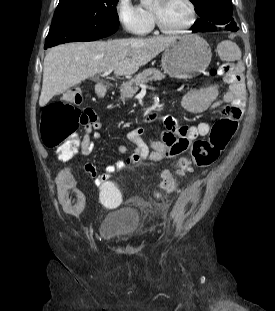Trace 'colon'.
I'll return each mask as SVG.
<instances>
[{
	"mask_svg": "<svg viewBox=\"0 0 275 311\" xmlns=\"http://www.w3.org/2000/svg\"><path fill=\"white\" fill-rule=\"evenodd\" d=\"M219 75L226 80L231 78L233 67L230 62H223L218 68ZM72 99L67 102H56L46 105L41 112L40 134L44 145L56 149L61 159L73 157L79 148H83V141L77 135L80 125L88 124L94 116L91 110H82L76 105L80 92H71ZM238 124L235 119L217 118L208 140L194 138L188 145L191 147V159L181 157L178 161L181 175L190 171L192 166L208 167L216 163L221 153L233 138ZM187 147V148H188ZM115 178H106L105 183H98L100 202L108 206L120 201ZM177 186L176 180L166 174L161 183L163 192L171 193ZM156 196H159L158 194Z\"/></svg>",
	"mask_w": 275,
	"mask_h": 311,
	"instance_id": "colon-1",
	"label": "colon"
}]
</instances>
